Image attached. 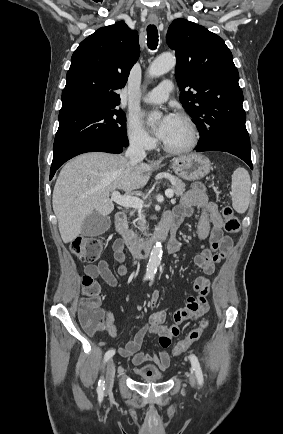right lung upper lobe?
I'll use <instances>...</instances> for the list:
<instances>
[{
  "label": "right lung upper lobe",
  "mask_w": 283,
  "mask_h": 434,
  "mask_svg": "<svg viewBox=\"0 0 283 434\" xmlns=\"http://www.w3.org/2000/svg\"><path fill=\"white\" fill-rule=\"evenodd\" d=\"M139 54L137 32L123 21L83 40L71 58L59 116L117 108L116 90L125 86Z\"/></svg>",
  "instance_id": "obj_1"
}]
</instances>
